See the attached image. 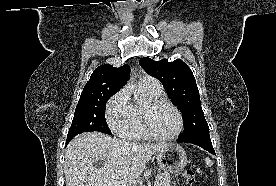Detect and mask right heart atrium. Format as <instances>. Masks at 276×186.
Returning a JSON list of instances; mask_svg holds the SVG:
<instances>
[{"label":"right heart atrium","mask_w":276,"mask_h":186,"mask_svg":"<svg viewBox=\"0 0 276 186\" xmlns=\"http://www.w3.org/2000/svg\"><path fill=\"white\" fill-rule=\"evenodd\" d=\"M106 119L109 127L116 133L128 131L134 121L127 88L115 93L106 106Z\"/></svg>","instance_id":"right-heart-atrium-1"}]
</instances>
